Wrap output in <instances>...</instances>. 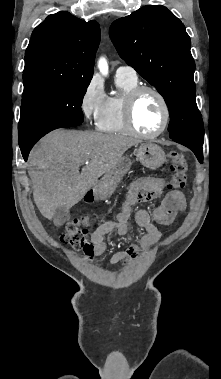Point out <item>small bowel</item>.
Wrapping results in <instances>:
<instances>
[{"label": "small bowel", "instance_id": "1", "mask_svg": "<svg viewBox=\"0 0 221 379\" xmlns=\"http://www.w3.org/2000/svg\"><path fill=\"white\" fill-rule=\"evenodd\" d=\"M165 187V179L158 177H142L134 181L120 212L116 215V220L103 222L92 233L88 245L84 248L88 258L100 256L106 251L107 246L104 241L106 235L111 233H116L119 236L126 235L128 223L132 216V206L137 202L160 197ZM186 206V199L181 191H170L155 210L153 217L160 225L168 226L174 221L177 213L184 211ZM135 222L143 230L139 242H132L125 250L113 254L110 265L123 263V265L129 266L140 257L141 251L148 250L160 240L161 232L152 222L151 216L146 210L140 209L136 212Z\"/></svg>", "mask_w": 221, "mask_h": 379}]
</instances>
